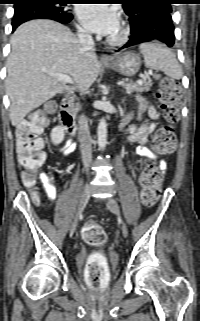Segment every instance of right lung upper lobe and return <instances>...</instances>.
Listing matches in <instances>:
<instances>
[{
	"label": "right lung upper lobe",
	"mask_w": 200,
	"mask_h": 321,
	"mask_svg": "<svg viewBox=\"0 0 200 321\" xmlns=\"http://www.w3.org/2000/svg\"><path fill=\"white\" fill-rule=\"evenodd\" d=\"M17 1V3H15V6L16 5H24V4H22L23 2H26V1H29V0H16Z\"/></svg>",
	"instance_id": "cb5924a9"
}]
</instances>
